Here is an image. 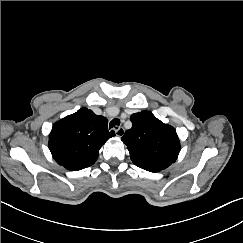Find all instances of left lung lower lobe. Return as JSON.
Masks as SVG:
<instances>
[{"label": "left lung lower lobe", "mask_w": 243, "mask_h": 243, "mask_svg": "<svg viewBox=\"0 0 243 243\" xmlns=\"http://www.w3.org/2000/svg\"><path fill=\"white\" fill-rule=\"evenodd\" d=\"M145 170L150 171V172H159V171H161L160 169H156V168H145Z\"/></svg>", "instance_id": "1"}]
</instances>
